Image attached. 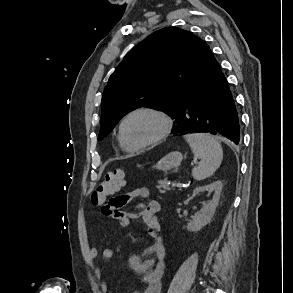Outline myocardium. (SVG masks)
Listing matches in <instances>:
<instances>
[{"mask_svg": "<svg viewBox=\"0 0 293 293\" xmlns=\"http://www.w3.org/2000/svg\"><path fill=\"white\" fill-rule=\"evenodd\" d=\"M142 113L150 114V115H153L156 118H158L161 123L160 131L158 132V134L155 137H153L152 139H150L147 142H144V143H141L138 145H131L127 142V140L124 136V126H125L126 122L132 116H134L136 114H142ZM171 129H172V121L167 114H165L164 112H162L158 109L152 108V107H139V108H136V109L130 111L128 114H126L124 116V118L120 122L118 133H119L120 142L126 150L138 151V150L145 149L147 147L158 144L159 142L164 140L169 135V133L171 132Z\"/></svg>", "mask_w": 293, "mask_h": 293, "instance_id": "f54148a6", "label": "myocardium"}]
</instances>
